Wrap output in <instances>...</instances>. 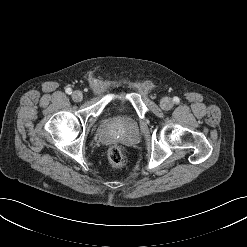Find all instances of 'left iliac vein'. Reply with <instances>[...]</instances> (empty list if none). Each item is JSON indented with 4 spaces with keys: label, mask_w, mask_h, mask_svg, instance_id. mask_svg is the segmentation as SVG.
<instances>
[{
    "label": "left iliac vein",
    "mask_w": 247,
    "mask_h": 247,
    "mask_svg": "<svg viewBox=\"0 0 247 247\" xmlns=\"http://www.w3.org/2000/svg\"><path fill=\"white\" fill-rule=\"evenodd\" d=\"M160 106L163 110H170L173 107V101L170 98H163Z\"/></svg>",
    "instance_id": "left-iliac-vein-1"
}]
</instances>
